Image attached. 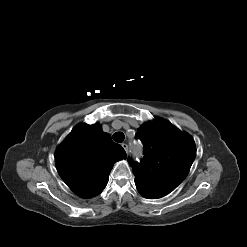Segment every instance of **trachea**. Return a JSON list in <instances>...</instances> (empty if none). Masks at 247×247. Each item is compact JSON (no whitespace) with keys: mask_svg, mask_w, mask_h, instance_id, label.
<instances>
[{"mask_svg":"<svg viewBox=\"0 0 247 247\" xmlns=\"http://www.w3.org/2000/svg\"><path fill=\"white\" fill-rule=\"evenodd\" d=\"M125 135L122 132H116L113 134V140L115 142L121 143L124 141Z\"/></svg>","mask_w":247,"mask_h":247,"instance_id":"3493384b","label":"trachea"}]
</instances>
